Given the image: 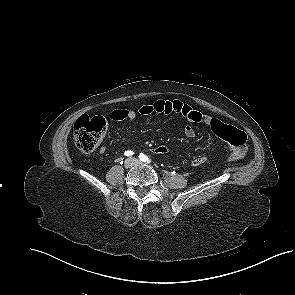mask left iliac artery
Segmentation results:
<instances>
[{
	"label": "left iliac artery",
	"mask_w": 295,
	"mask_h": 295,
	"mask_svg": "<svg viewBox=\"0 0 295 295\" xmlns=\"http://www.w3.org/2000/svg\"><path fill=\"white\" fill-rule=\"evenodd\" d=\"M139 159L143 162H147V163H150V159L148 158V156H146L145 154L143 153H140L139 155Z\"/></svg>",
	"instance_id": "left-iliac-artery-1"
}]
</instances>
